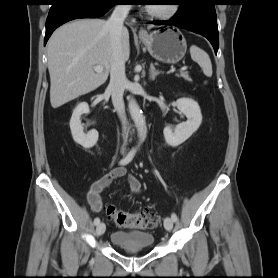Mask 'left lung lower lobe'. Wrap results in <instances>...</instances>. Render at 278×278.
<instances>
[{
    "mask_svg": "<svg viewBox=\"0 0 278 278\" xmlns=\"http://www.w3.org/2000/svg\"><path fill=\"white\" fill-rule=\"evenodd\" d=\"M215 4L213 0H189L171 20L153 23L176 26L201 34L210 41L217 54L219 40Z\"/></svg>",
    "mask_w": 278,
    "mask_h": 278,
    "instance_id": "0a47b994",
    "label": "left lung lower lobe"
}]
</instances>
